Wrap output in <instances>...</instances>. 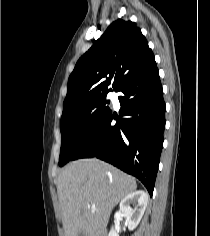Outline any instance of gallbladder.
<instances>
[{
  "label": "gallbladder",
  "mask_w": 210,
  "mask_h": 236,
  "mask_svg": "<svg viewBox=\"0 0 210 236\" xmlns=\"http://www.w3.org/2000/svg\"><path fill=\"white\" fill-rule=\"evenodd\" d=\"M78 236H85L83 233H80Z\"/></svg>",
  "instance_id": "bac80fb5"
}]
</instances>
